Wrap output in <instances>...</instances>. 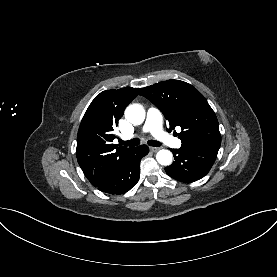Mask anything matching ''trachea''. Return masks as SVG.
I'll return each mask as SVG.
<instances>
[{
  "mask_svg": "<svg viewBox=\"0 0 277 277\" xmlns=\"http://www.w3.org/2000/svg\"><path fill=\"white\" fill-rule=\"evenodd\" d=\"M120 143L122 145H126V146H129V147H134V146H138L140 144V140L139 139H131V140H128V141H122L121 140ZM148 145L154 146V147H159L162 144L158 141L149 140Z\"/></svg>",
  "mask_w": 277,
  "mask_h": 277,
  "instance_id": "trachea-1",
  "label": "trachea"
}]
</instances>
